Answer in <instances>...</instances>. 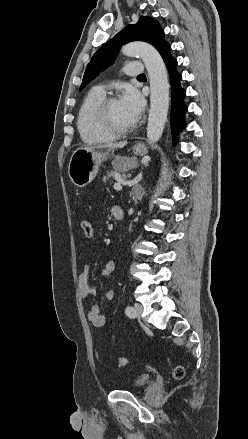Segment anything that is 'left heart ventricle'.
Segmentation results:
<instances>
[{
	"label": "left heart ventricle",
	"mask_w": 248,
	"mask_h": 439,
	"mask_svg": "<svg viewBox=\"0 0 248 439\" xmlns=\"http://www.w3.org/2000/svg\"><path fill=\"white\" fill-rule=\"evenodd\" d=\"M109 114L112 123L117 127L125 128L134 124L133 120L123 108L120 100L111 103Z\"/></svg>",
	"instance_id": "obj_1"
}]
</instances>
